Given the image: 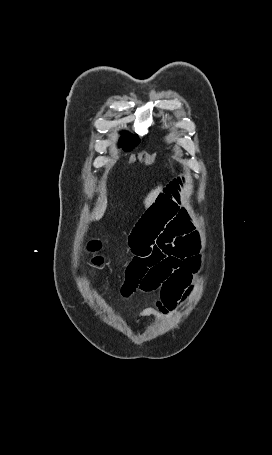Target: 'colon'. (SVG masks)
I'll return each instance as SVG.
<instances>
[{
	"label": "colon",
	"mask_w": 272,
	"mask_h": 455,
	"mask_svg": "<svg viewBox=\"0 0 272 455\" xmlns=\"http://www.w3.org/2000/svg\"><path fill=\"white\" fill-rule=\"evenodd\" d=\"M103 245L99 240L93 239L88 242L86 250L91 255V263L94 266H99L105 261V257L101 254Z\"/></svg>",
	"instance_id": "5ec220e1"
}]
</instances>
